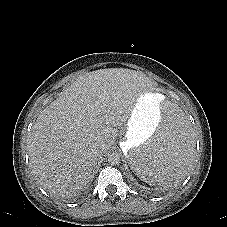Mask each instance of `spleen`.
<instances>
[{
  "mask_svg": "<svg viewBox=\"0 0 227 227\" xmlns=\"http://www.w3.org/2000/svg\"><path fill=\"white\" fill-rule=\"evenodd\" d=\"M160 117L155 133L128 152L126 163L146 183L169 188L187 177L194 162L195 145L190 123L179 104H164Z\"/></svg>",
  "mask_w": 227,
  "mask_h": 227,
  "instance_id": "3e777b00",
  "label": "spleen"
}]
</instances>
